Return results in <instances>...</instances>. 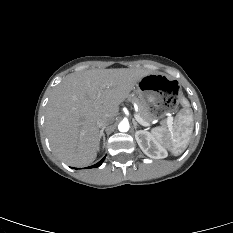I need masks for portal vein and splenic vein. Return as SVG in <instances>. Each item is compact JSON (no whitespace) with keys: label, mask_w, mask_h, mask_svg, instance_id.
<instances>
[{"label":"portal vein and splenic vein","mask_w":233,"mask_h":233,"mask_svg":"<svg viewBox=\"0 0 233 233\" xmlns=\"http://www.w3.org/2000/svg\"><path fill=\"white\" fill-rule=\"evenodd\" d=\"M100 97V95H98V98ZM134 117L136 119V121L141 124L142 126H150V124L146 121H144L138 114H134ZM172 121L173 118L172 117H168L167 118V125L171 128L172 127Z\"/></svg>","instance_id":"18ae733b"}]
</instances>
